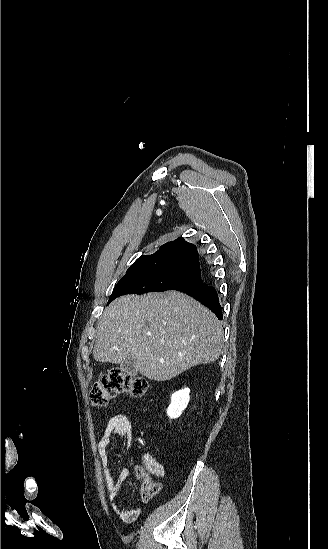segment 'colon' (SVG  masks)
I'll use <instances>...</instances> for the list:
<instances>
[{"label": "colon", "instance_id": "1", "mask_svg": "<svg viewBox=\"0 0 328 549\" xmlns=\"http://www.w3.org/2000/svg\"><path fill=\"white\" fill-rule=\"evenodd\" d=\"M149 391L148 382L140 377H133L124 373L120 369H111L94 383L90 390V403L94 407L106 406L109 401L121 393H129L135 397H141ZM139 476L143 480L141 494L143 497L148 495L150 482L143 471H139ZM136 513H130L124 518L133 520Z\"/></svg>", "mask_w": 328, "mask_h": 549}]
</instances>
